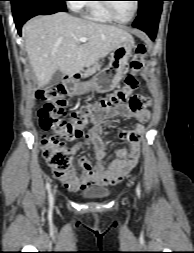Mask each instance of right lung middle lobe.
I'll return each mask as SVG.
<instances>
[{"label":"right lung middle lobe","mask_w":194,"mask_h":253,"mask_svg":"<svg viewBox=\"0 0 194 253\" xmlns=\"http://www.w3.org/2000/svg\"><path fill=\"white\" fill-rule=\"evenodd\" d=\"M12 4V9L15 8L19 3L24 2V1H37V0H10ZM57 2H60L65 5L66 0H55Z\"/></svg>","instance_id":"obj_1"}]
</instances>
